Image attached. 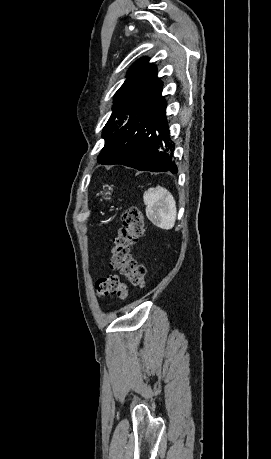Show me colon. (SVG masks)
<instances>
[{"instance_id":"colon-1","label":"colon","mask_w":271,"mask_h":459,"mask_svg":"<svg viewBox=\"0 0 271 459\" xmlns=\"http://www.w3.org/2000/svg\"><path fill=\"white\" fill-rule=\"evenodd\" d=\"M145 231V220L138 208H128L121 215V228L114 239L110 266L119 271L135 287H143L147 271L131 254V248L140 240ZM96 293L101 297L117 296L126 298L127 286L119 276L110 274L96 282Z\"/></svg>"}]
</instances>
